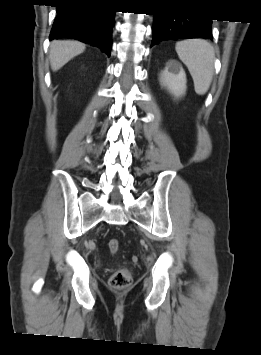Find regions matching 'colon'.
I'll list each match as a JSON object with an SVG mask.
<instances>
[{"mask_svg": "<svg viewBox=\"0 0 261 355\" xmlns=\"http://www.w3.org/2000/svg\"><path fill=\"white\" fill-rule=\"evenodd\" d=\"M108 248L110 252L117 253L120 248V242L116 238H112L108 241ZM132 283L131 272L128 268H121L117 270L110 277L109 284L113 289L123 290L128 288Z\"/></svg>", "mask_w": 261, "mask_h": 355, "instance_id": "1", "label": "colon"}]
</instances>
